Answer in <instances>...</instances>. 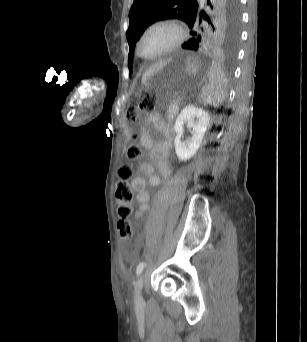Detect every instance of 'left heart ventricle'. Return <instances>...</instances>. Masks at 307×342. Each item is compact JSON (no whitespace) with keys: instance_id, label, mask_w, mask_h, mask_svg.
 <instances>
[{"instance_id":"left-heart-ventricle-1","label":"left heart ventricle","mask_w":307,"mask_h":342,"mask_svg":"<svg viewBox=\"0 0 307 342\" xmlns=\"http://www.w3.org/2000/svg\"><path fill=\"white\" fill-rule=\"evenodd\" d=\"M175 32L167 24H157L149 28L141 42V52L145 57H153L167 48L174 40Z\"/></svg>"}]
</instances>
